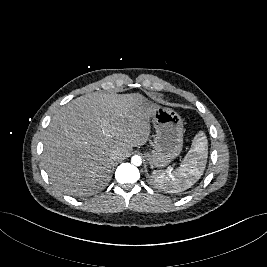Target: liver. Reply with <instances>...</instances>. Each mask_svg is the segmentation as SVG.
I'll use <instances>...</instances> for the list:
<instances>
[{"instance_id":"liver-1","label":"liver","mask_w":267,"mask_h":267,"mask_svg":"<svg viewBox=\"0 0 267 267\" xmlns=\"http://www.w3.org/2000/svg\"><path fill=\"white\" fill-rule=\"evenodd\" d=\"M140 94L80 96L52 117L44 133L43 166L50 180L71 196L98 192L110 181L111 153L129 157L150 135L151 109Z\"/></svg>"}]
</instances>
